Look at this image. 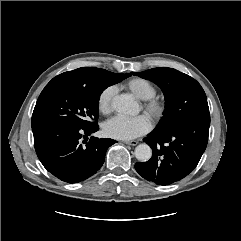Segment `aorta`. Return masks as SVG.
I'll use <instances>...</instances> for the list:
<instances>
[{
  "label": "aorta",
  "instance_id": "obj_1",
  "mask_svg": "<svg viewBox=\"0 0 241 241\" xmlns=\"http://www.w3.org/2000/svg\"><path fill=\"white\" fill-rule=\"evenodd\" d=\"M112 107L123 115H135L139 112V107L136 101L130 96L124 95L115 98L112 101ZM134 155L141 162L148 161L152 156V150L147 144H140L135 148Z\"/></svg>",
  "mask_w": 241,
  "mask_h": 241
}]
</instances>
